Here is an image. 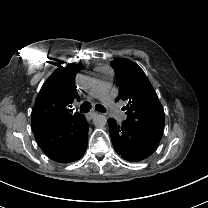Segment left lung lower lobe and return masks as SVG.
Segmentation results:
<instances>
[{"label": "left lung lower lobe", "mask_w": 208, "mask_h": 208, "mask_svg": "<svg viewBox=\"0 0 208 208\" xmlns=\"http://www.w3.org/2000/svg\"><path fill=\"white\" fill-rule=\"evenodd\" d=\"M107 122L113 147L124 160L139 162L156 151L159 143L139 134L126 120L121 125L114 119H108Z\"/></svg>", "instance_id": "0a47b994"}]
</instances>
